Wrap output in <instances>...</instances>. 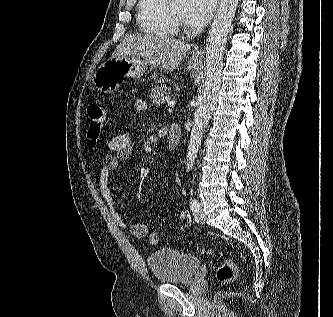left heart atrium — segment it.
<instances>
[{
    "label": "left heart atrium",
    "instance_id": "39dd6f15",
    "mask_svg": "<svg viewBox=\"0 0 333 317\" xmlns=\"http://www.w3.org/2000/svg\"><path fill=\"white\" fill-rule=\"evenodd\" d=\"M214 0H186V21L194 26L205 25L211 17Z\"/></svg>",
    "mask_w": 333,
    "mask_h": 317
}]
</instances>
